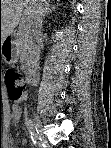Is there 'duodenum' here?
<instances>
[{
  "label": "duodenum",
  "mask_w": 111,
  "mask_h": 148,
  "mask_svg": "<svg viewBox=\"0 0 111 148\" xmlns=\"http://www.w3.org/2000/svg\"><path fill=\"white\" fill-rule=\"evenodd\" d=\"M38 81V74L35 70H31L30 73L27 76V83L29 85H34Z\"/></svg>",
  "instance_id": "1"
}]
</instances>
